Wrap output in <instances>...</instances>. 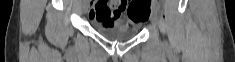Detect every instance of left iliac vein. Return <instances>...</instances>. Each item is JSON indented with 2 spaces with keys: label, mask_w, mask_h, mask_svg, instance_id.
<instances>
[{
  "label": "left iliac vein",
  "mask_w": 235,
  "mask_h": 62,
  "mask_svg": "<svg viewBox=\"0 0 235 62\" xmlns=\"http://www.w3.org/2000/svg\"><path fill=\"white\" fill-rule=\"evenodd\" d=\"M150 21H151V23H152V25H153L154 27L157 26L158 15H157V10H156V8H153L152 11H151Z\"/></svg>",
  "instance_id": "left-iliac-vein-1"
}]
</instances>
